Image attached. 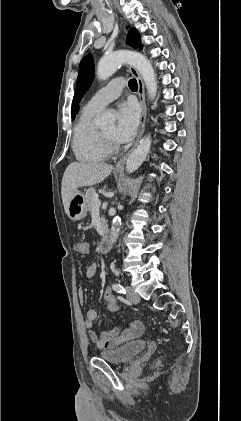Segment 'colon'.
<instances>
[{"instance_id":"obj_1","label":"colon","mask_w":241,"mask_h":421,"mask_svg":"<svg viewBox=\"0 0 241 421\" xmlns=\"http://www.w3.org/2000/svg\"><path fill=\"white\" fill-rule=\"evenodd\" d=\"M76 251L81 255H86L90 251V245L86 241H79L76 243ZM104 300L107 305V309L111 312H116L119 310V306L116 300V297L112 290L107 287L104 291Z\"/></svg>"}]
</instances>
